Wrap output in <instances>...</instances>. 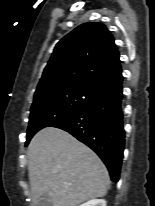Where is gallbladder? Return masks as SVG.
Returning a JSON list of instances; mask_svg holds the SVG:
<instances>
[{
  "label": "gallbladder",
  "instance_id": "bac80fb5",
  "mask_svg": "<svg viewBox=\"0 0 155 206\" xmlns=\"http://www.w3.org/2000/svg\"><path fill=\"white\" fill-rule=\"evenodd\" d=\"M35 206H52L51 200L47 195H43Z\"/></svg>",
  "mask_w": 155,
  "mask_h": 206
}]
</instances>
